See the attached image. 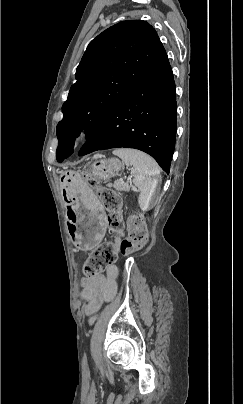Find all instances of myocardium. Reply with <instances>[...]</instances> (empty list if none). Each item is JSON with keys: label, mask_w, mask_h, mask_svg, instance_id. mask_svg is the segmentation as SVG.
Masks as SVG:
<instances>
[{"label": "myocardium", "mask_w": 243, "mask_h": 404, "mask_svg": "<svg viewBox=\"0 0 243 404\" xmlns=\"http://www.w3.org/2000/svg\"><path fill=\"white\" fill-rule=\"evenodd\" d=\"M85 131L83 129H77L72 134V139L76 142H80L85 138Z\"/></svg>", "instance_id": "f54148a6"}]
</instances>
